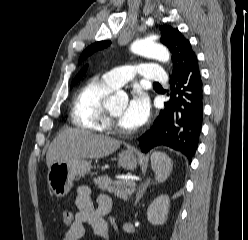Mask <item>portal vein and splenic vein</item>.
Returning a JSON list of instances; mask_svg holds the SVG:
<instances>
[{
  "label": "portal vein and splenic vein",
  "mask_w": 248,
  "mask_h": 240,
  "mask_svg": "<svg viewBox=\"0 0 248 240\" xmlns=\"http://www.w3.org/2000/svg\"><path fill=\"white\" fill-rule=\"evenodd\" d=\"M126 184H127L128 186H133V187L136 186L135 181H126Z\"/></svg>",
  "instance_id": "18ae733b"
}]
</instances>
